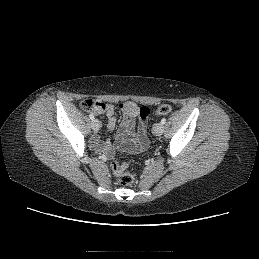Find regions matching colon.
<instances>
[{"instance_id":"obj_1","label":"colon","mask_w":259,"mask_h":259,"mask_svg":"<svg viewBox=\"0 0 259 259\" xmlns=\"http://www.w3.org/2000/svg\"><path fill=\"white\" fill-rule=\"evenodd\" d=\"M105 106L102 102H96L91 99H87L82 102V107L85 110H98L103 109ZM172 112V107L168 104L160 105L156 113L159 115H167ZM150 114V110L147 107H140V116L147 119ZM112 170L116 176L119 178V182L124 186H129L134 182V175L129 171L127 163H118L116 161L111 163Z\"/></svg>"}]
</instances>
